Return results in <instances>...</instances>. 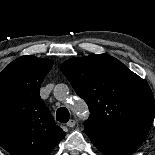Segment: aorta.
Instances as JSON below:
<instances>
[{
	"label": "aorta",
	"mask_w": 155,
	"mask_h": 155,
	"mask_svg": "<svg viewBox=\"0 0 155 155\" xmlns=\"http://www.w3.org/2000/svg\"><path fill=\"white\" fill-rule=\"evenodd\" d=\"M53 93L56 99L64 100L69 94V88L65 84H58L55 86ZM73 109L81 115H86L87 107L82 101H78L77 104H74Z\"/></svg>",
	"instance_id": "aorta-1"
}]
</instances>
